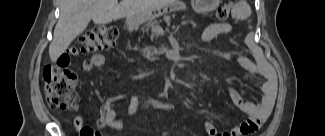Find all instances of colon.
Wrapping results in <instances>:
<instances>
[{"label": "colon", "mask_w": 325, "mask_h": 136, "mask_svg": "<svg viewBox=\"0 0 325 136\" xmlns=\"http://www.w3.org/2000/svg\"><path fill=\"white\" fill-rule=\"evenodd\" d=\"M230 4L220 6L216 11V19L225 21L230 14ZM118 33L114 27L100 26L83 34L78 40L79 50L83 53L96 52L113 47ZM44 89L47 101L54 110H64L68 107L71 95L76 88V82L69 80L56 65H48L43 71ZM80 136H100L91 127H84Z\"/></svg>", "instance_id": "colon-1"}]
</instances>
